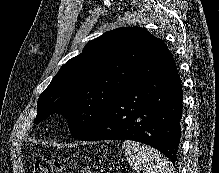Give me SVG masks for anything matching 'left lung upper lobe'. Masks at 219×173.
<instances>
[{
	"mask_svg": "<svg viewBox=\"0 0 219 173\" xmlns=\"http://www.w3.org/2000/svg\"><path fill=\"white\" fill-rule=\"evenodd\" d=\"M162 43L139 27L114 29L92 40L40 95L34 123L60 113L72 137H82L137 82L141 67Z\"/></svg>",
	"mask_w": 219,
	"mask_h": 173,
	"instance_id": "obj_1",
	"label": "left lung upper lobe"
}]
</instances>
